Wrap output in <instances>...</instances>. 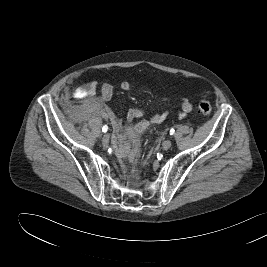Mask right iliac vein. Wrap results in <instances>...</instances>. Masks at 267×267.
<instances>
[{"label": "right iliac vein", "mask_w": 267, "mask_h": 267, "mask_svg": "<svg viewBox=\"0 0 267 267\" xmlns=\"http://www.w3.org/2000/svg\"><path fill=\"white\" fill-rule=\"evenodd\" d=\"M102 142L104 145H107L109 143V134L105 133L102 137Z\"/></svg>", "instance_id": "obj_1"}]
</instances>
